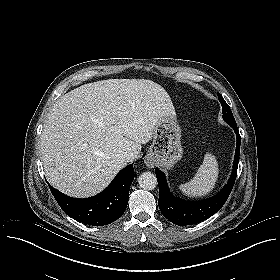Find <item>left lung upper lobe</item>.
Listing matches in <instances>:
<instances>
[{"mask_svg":"<svg viewBox=\"0 0 280 280\" xmlns=\"http://www.w3.org/2000/svg\"><path fill=\"white\" fill-rule=\"evenodd\" d=\"M218 99H219V101L221 103V106H222L224 121L226 123H228L230 126H232V125L237 126L230 107L228 106V104L225 102V100L223 99V97L219 93H218Z\"/></svg>","mask_w":280,"mask_h":280,"instance_id":"5c2ea615","label":"left lung upper lobe"}]
</instances>
